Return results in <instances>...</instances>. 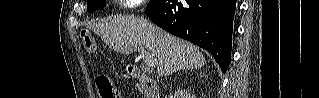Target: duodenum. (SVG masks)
I'll list each match as a JSON object with an SVG mask.
<instances>
[{
    "label": "duodenum",
    "mask_w": 319,
    "mask_h": 98,
    "mask_svg": "<svg viewBox=\"0 0 319 98\" xmlns=\"http://www.w3.org/2000/svg\"><path fill=\"white\" fill-rule=\"evenodd\" d=\"M127 73L142 83L146 98H160L157 82L144 74L137 66L129 64L127 66Z\"/></svg>",
    "instance_id": "410a0bca"
}]
</instances>
